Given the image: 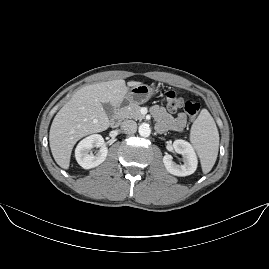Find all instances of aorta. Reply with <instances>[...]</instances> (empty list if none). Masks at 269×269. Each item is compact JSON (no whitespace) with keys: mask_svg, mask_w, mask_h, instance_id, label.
Instances as JSON below:
<instances>
[{"mask_svg":"<svg viewBox=\"0 0 269 269\" xmlns=\"http://www.w3.org/2000/svg\"><path fill=\"white\" fill-rule=\"evenodd\" d=\"M139 134H140L142 137H148V136H150V134H151V128H150L149 124H147V123H142V124L139 126Z\"/></svg>","mask_w":269,"mask_h":269,"instance_id":"1","label":"aorta"}]
</instances>
